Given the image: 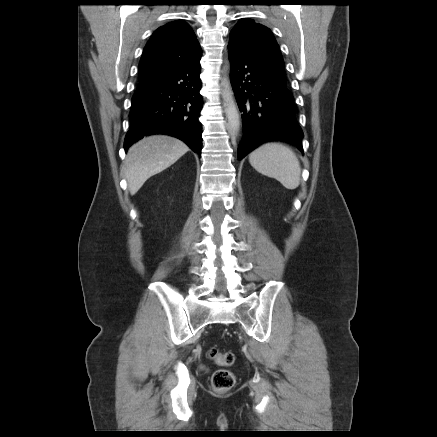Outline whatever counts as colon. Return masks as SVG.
Here are the masks:
<instances>
[{
    "instance_id": "obj_1",
    "label": "colon",
    "mask_w": 437,
    "mask_h": 437,
    "mask_svg": "<svg viewBox=\"0 0 437 437\" xmlns=\"http://www.w3.org/2000/svg\"><path fill=\"white\" fill-rule=\"evenodd\" d=\"M208 357L215 364L223 367L217 369L212 375V387L216 392L224 393L232 389L235 384V375L228 369L235 362V356L231 352H220L217 348L211 347L208 350Z\"/></svg>"
}]
</instances>
